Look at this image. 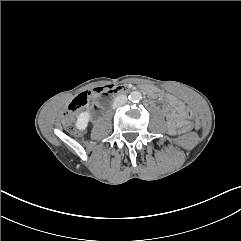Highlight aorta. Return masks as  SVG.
Masks as SVG:
<instances>
[{"label": "aorta", "instance_id": "1", "mask_svg": "<svg viewBox=\"0 0 241 241\" xmlns=\"http://www.w3.org/2000/svg\"><path fill=\"white\" fill-rule=\"evenodd\" d=\"M129 97H130V100L133 102H139L142 99V95L138 91H133Z\"/></svg>", "mask_w": 241, "mask_h": 241}]
</instances>
